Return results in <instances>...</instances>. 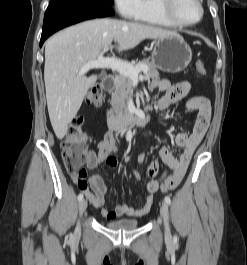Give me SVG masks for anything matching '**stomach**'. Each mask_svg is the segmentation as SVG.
Wrapping results in <instances>:
<instances>
[{
	"label": "stomach",
	"instance_id": "0dacf381",
	"mask_svg": "<svg viewBox=\"0 0 247 265\" xmlns=\"http://www.w3.org/2000/svg\"><path fill=\"white\" fill-rule=\"evenodd\" d=\"M192 59L190 46L179 34L158 38L151 60L155 68L163 72L178 73L183 71Z\"/></svg>",
	"mask_w": 247,
	"mask_h": 265
}]
</instances>
